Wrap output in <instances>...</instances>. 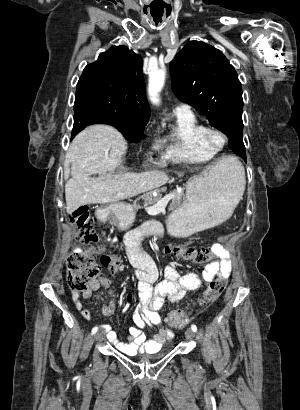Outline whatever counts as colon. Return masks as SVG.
Returning a JSON list of instances; mask_svg holds the SVG:
<instances>
[{
  "label": "colon",
  "mask_w": 300,
  "mask_h": 410,
  "mask_svg": "<svg viewBox=\"0 0 300 410\" xmlns=\"http://www.w3.org/2000/svg\"><path fill=\"white\" fill-rule=\"evenodd\" d=\"M70 223L77 228L80 241L85 244H97L100 240L98 233L90 222L88 207L82 206L75 210L70 216ZM164 251L184 260L197 264L212 262L217 257L214 245L208 247H193L187 245L166 246ZM101 264L112 273L122 269L119 256L112 253H104L101 256ZM98 266L93 259L85 254L79 253L69 257L67 262V282L72 292L84 291L88 284L97 276ZM227 281L216 279L212 281L203 294L202 303L214 302L224 291ZM168 324L173 328H181L188 322V315L183 311L172 312L168 316Z\"/></svg>",
  "instance_id": "colon-1"
}]
</instances>
